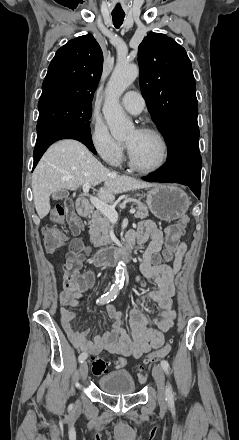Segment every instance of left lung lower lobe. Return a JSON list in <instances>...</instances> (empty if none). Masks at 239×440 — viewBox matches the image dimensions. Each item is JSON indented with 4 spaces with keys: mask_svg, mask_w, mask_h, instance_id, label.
<instances>
[{
    "mask_svg": "<svg viewBox=\"0 0 239 440\" xmlns=\"http://www.w3.org/2000/svg\"><path fill=\"white\" fill-rule=\"evenodd\" d=\"M199 128H185L175 132L167 141L168 157L157 173L142 177L150 182L180 183L187 185L200 198L201 156L199 154Z\"/></svg>",
    "mask_w": 239,
    "mask_h": 440,
    "instance_id": "1",
    "label": "left lung lower lobe"
}]
</instances>
